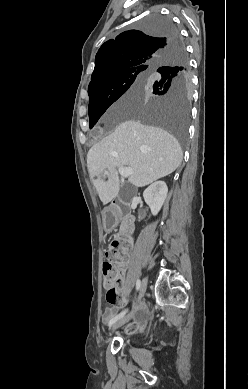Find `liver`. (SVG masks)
Here are the masks:
<instances>
[{
  "label": "liver",
  "instance_id": "obj_1",
  "mask_svg": "<svg viewBox=\"0 0 248 389\" xmlns=\"http://www.w3.org/2000/svg\"><path fill=\"white\" fill-rule=\"evenodd\" d=\"M136 92L132 87L120 104L137 102ZM182 157L181 147L170 133L129 119L89 149L87 168L100 200L106 205L119 193L117 168H132L129 182L135 187H144L174 172ZM106 170L107 180L103 178Z\"/></svg>",
  "mask_w": 248,
  "mask_h": 389
}]
</instances>
